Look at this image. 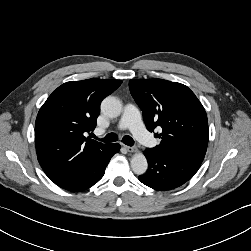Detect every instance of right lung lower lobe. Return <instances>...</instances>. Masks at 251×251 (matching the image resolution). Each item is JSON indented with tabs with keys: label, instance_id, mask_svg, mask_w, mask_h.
I'll use <instances>...</instances> for the list:
<instances>
[{
	"label": "right lung lower lobe",
	"instance_id": "right-lung-lower-lobe-1",
	"mask_svg": "<svg viewBox=\"0 0 251 251\" xmlns=\"http://www.w3.org/2000/svg\"><path fill=\"white\" fill-rule=\"evenodd\" d=\"M119 144H110L101 153L72 169L54 168L44 170L46 175L59 187L69 191H82L97 183L104 175L111 157L118 153Z\"/></svg>",
	"mask_w": 251,
	"mask_h": 251
}]
</instances>
